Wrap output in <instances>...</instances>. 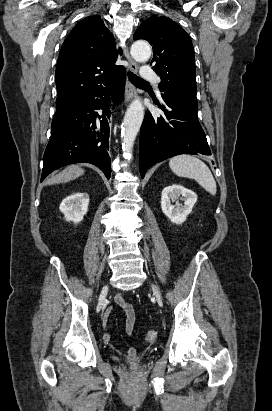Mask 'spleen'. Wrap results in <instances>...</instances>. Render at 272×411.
<instances>
[{
	"label": "spleen",
	"mask_w": 272,
	"mask_h": 411,
	"mask_svg": "<svg viewBox=\"0 0 272 411\" xmlns=\"http://www.w3.org/2000/svg\"><path fill=\"white\" fill-rule=\"evenodd\" d=\"M169 167L177 176L194 179L211 195H216L215 179L208 166L200 159L186 154L178 155L170 159Z\"/></svg>",
	"instance_id": "1"
}]
</instances>
